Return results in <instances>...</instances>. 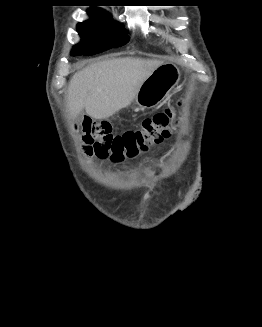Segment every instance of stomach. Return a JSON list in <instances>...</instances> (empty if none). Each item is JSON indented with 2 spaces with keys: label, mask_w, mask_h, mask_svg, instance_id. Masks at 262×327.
I'll list each match as a JSON object with an SVG mask.
<instances>
[{
  "label": "stomach",
  "mask_w": 262,
  "mask_h": 327,
  "mask_svg": "<svg viewBox=\"0 0 262 327\" xmlns=\"http://www.w3.org/2000/svg\"><path fill=\"white\" fill-rule=\"evenodd\" d=\"M180 70L173 63L157 67L140 86L134 102L140 109H152L160 105L180 80Z\"/></svg>",
  "instance_id": "1"
}]
</instances>
